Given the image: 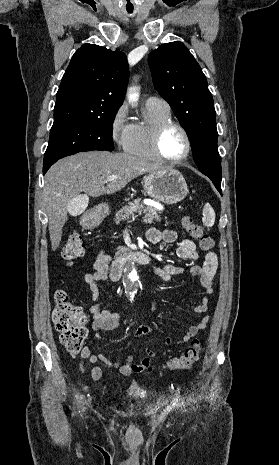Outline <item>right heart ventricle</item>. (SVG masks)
<instances>
[{"label":"right heart ventricle","instance_id":"right-heart-ventricle-1","mask_svg":"<svg viewBox=\"0 0 279 465\" xmlns=\"http://www.w3.org/2000/svg\"><path fill=\"white\" fill-rule=\"evenodd\" d=\"M169 120H172L170 108L146 104L143 119L132 124L131 138L125 148L126 153L143 160H159L152 146L153 135L161 123Z\"/></svg>","mask_w":279,"mask_h":465}]
</instances>
